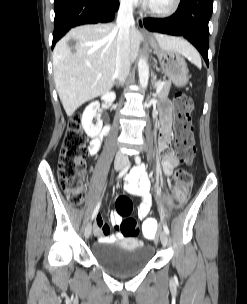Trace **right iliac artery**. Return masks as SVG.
<instances>
[{"instance_id":"82829eb1","label":"right iliac artery","mask_w":247,"mask_h":304,"mask_svg":"<svg viewBox=\"0 0 247 304\" xmlns=\"http://www.w3.org/2000/svg\"><path fill=\"white\" fill-rule=\"evenodd\" d=\"M130 166H131L130 163L127 164V165L122 169V171L119 173L118 178L123 177V176L128 172ZM130 175H131V173H130L129 175H127L126 177L128 178ZM127 178H126V179H127ZM99 207H100V203L96 206L95 210L93 211V214H92V216H91V220H93V219L96 217L97 212H98V210H99Z\"/></svg>"}]
</instances>
